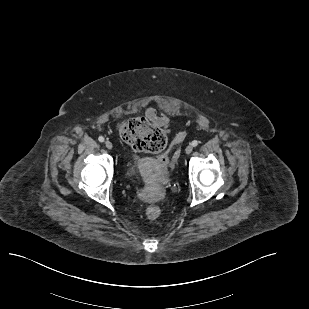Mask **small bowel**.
Instances as JSON below:
<instances>
[{"mask_svg":"<svg viewBox=\"0 0 309 309\" xmlns=\"http://www.w3.org/2000/svg\"><path fill=\"white\" fill-rule=\"evenodd\" d=\"M145 117L153 125L161 127L165 131L169 130V117L165 113H158V111L154 107H148L145 110Z\"/></svg>","mask_w":309,"mask_h":309,"instance_id":"c3829d8e","label":"small bowel"}]
</instances>
